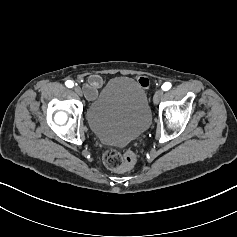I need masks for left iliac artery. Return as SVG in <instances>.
I'll return each mask as SVG.
<instances>
[{"instance_id":"44dca946","label":"left iliac artery","mask_w":237,"mask_h":237,"mask_svg":"<svg viewBox=\"0 0 237 237\" xmlns=\"http://www.w3.org/2000/svg\"><path fill=\"white\" fill-rule=\"evenodd\" d=\"M171 83L170 82H165L163 85H162V89L164 91H168L170 88H171Z\"/></svg>"}]
</instances>
